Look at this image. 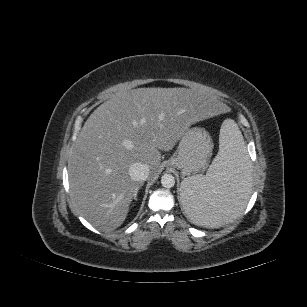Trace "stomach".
Masks as SVG:
<instances>
[{
	"label": "stomach",
	"instance_id": "0dacf381",
	"mask_svg": "<svg viewBox=\"0 0 307 307\" xmlns=\"http://www.w3.org/2000/svg\"><path fill=\"white\" fill-rule=\"evenodd\" d=\"M212 148V139L204 128H188L180 138L168 166L180 169L182 176L203 172L208 166Z\"/></svg>",
	"mask_w": 307,
	"mask_h": 307
}]
</instances>
